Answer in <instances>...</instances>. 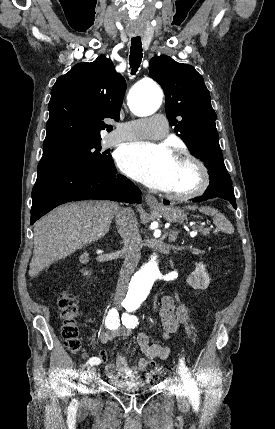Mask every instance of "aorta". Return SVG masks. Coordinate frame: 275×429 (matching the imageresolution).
Returning a JSON list of instances; mask_svg holds the SVG:
<instances>
[{"label":"aorta","mask_w":275,"mask_h":429,"mask_svg":"<svg viewBox=\"0 0 275 429\" xmlns=\"http://www.w3.org/2000/svg\"><path fill=\"white\" fill-rule=\"evenodd\" d=\"M163 99L161 88L154 82L138 83L128 96L131 111L138 116H148L155 113ZM156 255L145 263L131 279L129 286V301L137 305L149 294L158 274Z\"/></svg>","instance_id":"obj_1"}]
</instances>
